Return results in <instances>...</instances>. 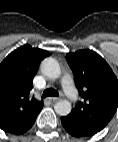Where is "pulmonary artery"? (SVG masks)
I'll list each match as a JSON object with an SVG mask.
<instances>
[{
    "label": "pulmonary artery",
    "instance_id": "e3ab8cb5",
    "mask_svg": "<svg viewBox=\"0 0 118 142\" xmlns=\"http://www.w3.org/2000/svg\"><path fill=\"white\" fill-rule=\"evenodd\" d=\"M62 85L64 88V91L66 95L71 99V100H76L77 94L76 91L73 87V82L72 79L69 75H66L62 79Z\"/></svg>",
    "mask_w": 118,
    "mask_h": 142
}]
</instances>
